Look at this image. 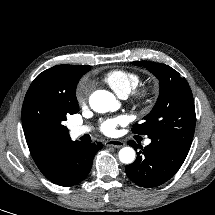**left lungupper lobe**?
<instances>
[{"label":"left lung upper lobe","mask_w":215,"mask_h":215,"mask_svg":"<svg viewBox=\"0 0 215 215\" xmlns=\"http://www.w3.org/2000/svg\"><path fill=\"white\" fill-rule=\"evenodd\" d=\"M160 81V94L144 122L133 125L132 132L150 139H163L189 151L195 130V107L192 91L185 78L168 65L135 61Z\"/></svg>","instance_id":"5c2ea615"}]
</instances>
